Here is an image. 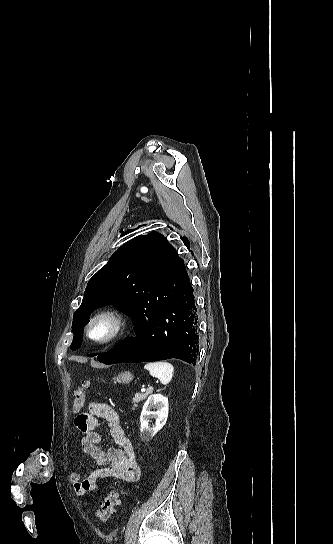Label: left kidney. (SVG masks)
Returning <instances> with one entry per match:
<instances>
[{"label": "left kidney", "mask_w": 333, "mask_h": 544, "mask_svg": "<svg viewBox=\"0 0 333 544\" xmlns=\"http://www.w3.org/2000/svg\"><path fill=\"white\" fill-rule=\"evenodd\" d=\"M156 409V411H152ZM155 418V424L150 419ZM168 418V399L161 394L149 396L143 405L140 416V437L142 441H150L163 428Z\"/></svg>", "instance_id": "left-kidney-1"}]
</instances>
